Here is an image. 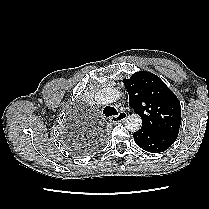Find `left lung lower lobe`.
I'll use <instances>...</instances> for the list:
<instances>
[{
    "mask_svg": "<svg viewBox=\"0 0 209 209\" xmlns=\"http://www.w3.org/2000/svg\"><path fill=\"white\" fill-rule=\"evenodd\" d=\"M135 143L145 151L160 153L167 150L177 137L143 128L133 134Z\"/></svg>",
    "mask_w": 209,
    "mask_h": 209,
    "instance_id": "obj_1",
    "label": "left lung lower lobe"
}]
</instances>
